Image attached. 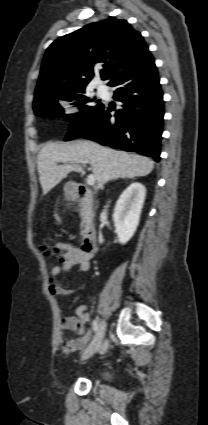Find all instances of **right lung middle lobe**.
Masks as SVG:
<instances>
[{"mask_svg":"<svg viewBox=\"0 0 208 425\" xmlns=\"http://www.w3.org/2000/svg\"><path fill=\"white\" fill-rule=\"evenodd\" d=\"M61 101H67L72 105L78 106L82 112L78 113L77 116L88 114L101 104L95 98L90 99L87 97L85 89H82L71 93H53L42 97L34 102V113L49 117L72 118V116L64 114V108L59 104Z\"/></svg>","mask_w":208,"mask_h":425,"instance_id":"1","label":"right lung middle lobe"}]
</instances>
